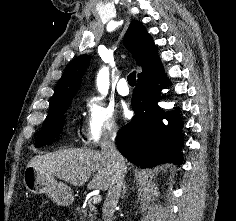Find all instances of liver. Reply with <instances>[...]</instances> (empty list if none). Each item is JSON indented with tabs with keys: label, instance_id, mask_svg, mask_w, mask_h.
Returning a JSON list of instances; mask_svg holds the SVG:
<instances>
[{
	"label": "liver",
	"instance_id": "1",
	"mask_svg": "<svg viewBox=\"0 0 236 221\" xmlns=\"http://www.w3.org/2000/svg\"><path fill=\"white\" fill-rule=\"evenodd\" d=\"M32 166L49 175L58 177L74 186H82L95 173L88 183V189L106 191L111 180V167L100 151L87 148H65L33 157Z\"/></svg>",
	"mask_w": 236,
	"mask_h": 221
}]
</instances>
